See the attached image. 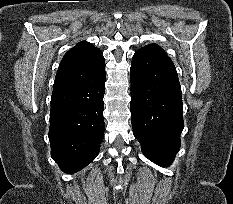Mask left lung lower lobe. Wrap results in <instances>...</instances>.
<instances>
[{"instance_id": "obj_1", "label": "left lung lower lobe", "mask_w": 233, "mask_h": 204, "mask_svg": "<svg viewBox=\"0 0 233 204\" xmlns=\"http://www.w3.org/2000/svg\"><path fill=\"white\" fill-rule=\"evenodd\" d=\"M130 75L133 133L147 158L168 166L184 127L176 68L167 55L141 48L133 56Z\"/></svg>"}]
</instances>
